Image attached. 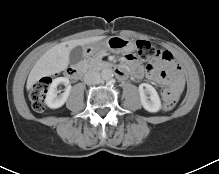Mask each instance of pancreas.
Returning <instances> with one entry per match:
<instances>
[{
  "label": "pancreas",
  "mask_w": 219,
  "mask_h": 174,
  "mask_svg": "<svg viewBox=\"0 0 219 174\" xmlns=\"http://www.w3.org/2000/svg\"><path fill=\"white\" fill-rule=\"evenodd\" d=\"M104 53H98L97 55L88 58L84 62V66L88 69H100L105 63L102 61Z\"/></svg>",
  "instance_id": "cf45deb5"
}]
</instances>
